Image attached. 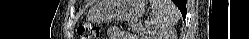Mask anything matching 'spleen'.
<instances>
[{"label": "spleen", "instance_id": "1", "mask_svg": "<svg viewBox=\"0 0 249 39\" xmlns=\"http://www.w3.org/2000/svg\"><path fill=\"white\" fill-rule=\"evenodd\" d=\"M153 16L150 24L154 28L153 34L161 35L166 33L178 22L180 12L171 0H151Z\"/></svg>", "mask_w": 249, "mask_h": 39}]
</instances>
